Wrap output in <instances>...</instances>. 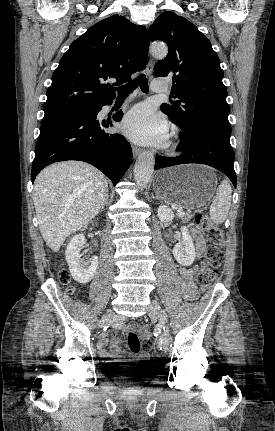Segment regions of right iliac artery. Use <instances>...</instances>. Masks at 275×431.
Listing matches in <instances>:
<instances>
[{
	"label": "right iliac artery",
	"instance_id": "1",
	"mask_svg": "<svg viewBox=\"0 0 275 431\" xmlns=\"http://www.w3.org/2000/svg\"><path fill=\"white\" fill-rule=\"evenodd\" d=\"M123 324L122 323H117L116 325H115V327H120V326H122Z\"/></svg>",
	"mask_w": 275,
	"mask_h": 431
}]
</instances>
